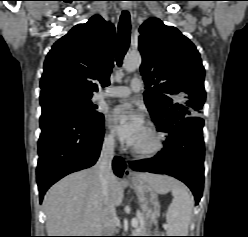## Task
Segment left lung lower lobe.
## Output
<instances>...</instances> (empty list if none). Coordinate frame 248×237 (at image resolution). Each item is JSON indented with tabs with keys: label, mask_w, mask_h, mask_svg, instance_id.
<instances>
[{
	"label": "left lung lower lobe",
	"mask_w": 248,
	"mask_h": 237,
	"mask_svg": "<svg viewBox=\"0 0 248 237\" xmlns=\"http://www.w3.org/2000/svg\"><path fill=\"white\" fill-rule=\"evenodd\" d=\"M204 120L187 117L178 121L166 134L164 148L149 160L130 163L135 171L167 174L184 182L198 204L204 182Z\"/></svg>",
	"instance_id": "obj_1"
}]
</instances>
